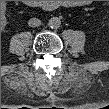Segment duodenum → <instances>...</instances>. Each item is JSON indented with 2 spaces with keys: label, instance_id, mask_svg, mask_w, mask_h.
<instances>
[{
  "label": "duodenum",
  "instance_id": "410a0bca",
  "mask_svg": "<svg viewBox=\"0 0 109 109\" xmlns=\"http://www.w3.org/2000/svg\"><path fill=\"white\" fill-rule=\"evenodd\" d=\"M27 6L33 8H41V9H52L54 8V4L49 1H27Z\"/></svg>",
  "mask_w": 109,
  "mask_h": 109
}]
</instances>
